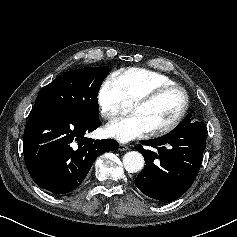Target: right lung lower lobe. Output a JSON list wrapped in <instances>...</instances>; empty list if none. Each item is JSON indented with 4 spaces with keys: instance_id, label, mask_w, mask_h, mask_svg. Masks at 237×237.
<instances>
[{
    "instance_id": "98d812e1",
    "label": "right lung lower lobe",
    "mask_w": 237,
    "mask_h": 237,
    "mask_svg": "<svg viewBox=\"0 0 237 237\" xmlns=\"http://www.w3.org/2000/svg\"><path fill=\"white\" fill-rule=\"evenodd\" d=\"M101 125L50 107L34 106L23 136L26 167L34 182L53 194L74 190L87 176L95 159L116 150L111 139L84 137Z\"/></svg>"
}]
</instances>
